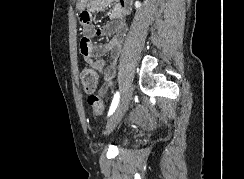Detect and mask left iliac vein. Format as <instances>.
Segmentation results:
<instances>
[{"instance_id":"1","label":"left iliac vein","mask_w":244,"mask_h":179,"mask_svg":"<svg viewBox=\"0 0 244 179\" xmlns=\"http://www.w3.org/2000/svg\"><path fill=\"white\" fill-rule=\"evenodd\" d=\"M133 98V89L131 86L127 87L120 99V102L117 105V108L115 109L113 115L109 119L106 125V134L109 135L114 128L117 126V124L122 119L123 115L127 111L129 104Z\"/></svg>"}]
</instances>
